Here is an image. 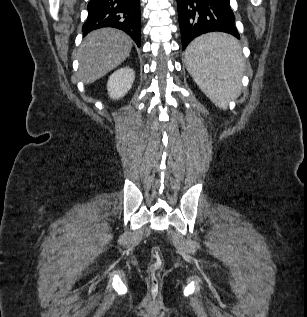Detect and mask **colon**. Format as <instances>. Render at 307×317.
<instances>
[{"label":"colon","instance_id":"5ec220e1","mask_svg":"<svg viewBox=\"0 0 307 317\" xmlns=\"http://www.w3.org/2000/svg\"><path fill=\"white\" fill-rule=\"evenodd\" d=\"M163 267V257L160 252V249L157 247H154L152 249V256L151 261L149 264V278L152 284V287L156 289L159 284L161 270Z\"/></svg>","mask_w":307,"mask_h":317}]
</instances>
